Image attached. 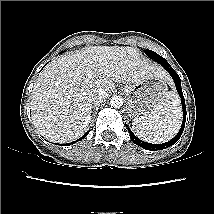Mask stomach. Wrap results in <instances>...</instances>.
Instances as JSON below:
<instances>
[{
  "instance_id": "obj_1",
  "label": "stomach",
  "mask_w": 214,
  "mask_h": 214,
  "mask_svg": "<svg viewBox=\"0 0 214 214\" xmlns=\"http://www.w3.org/2000/svg\"><path fill=\"white\" fill-rule=\"evenodd\" d=\"M127 97L128 113L132 117L148 114L157 107L167 91L164 78L153 76L122 88Z\"/></svg>"
}]
</instances>
